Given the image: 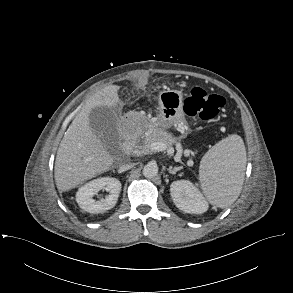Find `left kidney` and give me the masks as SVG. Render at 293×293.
Segmentation results:
<instances>
[{
  "label": "left kidney",
  "mask_w": 293,
  "mask_h": 293,
  "mask_svg": "<svg viewBox=\"0 0 293 293\" xmlns=\"http://www.w3.org/2000/svg\"><path fill=\"white\" fill-rule=\"evenodd\" d=\"M170 194L176 207L186 213L202 214L208 210L207 200L188 180L174 181L170 186Z\"/></svg>",
  "instance_id": "obj_1"
}]
</instances>
